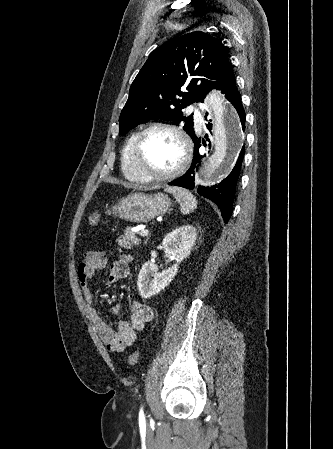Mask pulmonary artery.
Instances as JSON below:
<instances>
[{
  "instance_id": "e3ab8cb5",
  "label": "pulmonary artery",
  "mask_w": 333,
  "mask_h": 449,
  "mask_svg": "<svg viewBox=\"0 0 333 449\" xmlns=\"http://www.w3.org/2000/svg\"><path fill=\"white\" fill-rule=\"evenodd\" d=\"M196 119H197L198 124L201 125L202 121H201L200 116L196 115Z\"/></svg>"
}]
</instances>
